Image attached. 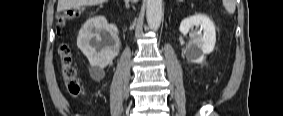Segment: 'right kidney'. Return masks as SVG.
<instances>
[{
  "instance_id": "1",
  "label": "right kidney",
  "mask_w": 283,
  "mask_h": 116,
  "mask_svg": "<svg viewBox=\"0 0 283 116\" xmlns=\"http://www.w3.org/2000/svg\"><path fill=\"white\" fill-rule=\"evenodd\" d=\"M77 46L92 67L105 68L118 55L120 40L104 16L88 19L79 31Z\"/></svg>"
}]
</instances>
